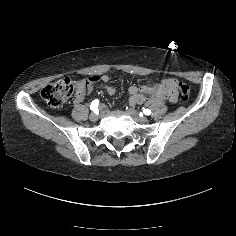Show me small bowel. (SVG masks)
Returning a JSON list of instances; mask_svg holds the SVG:
<instances>
[{
    "instance_id": "obj_1",
    "label": "small bowel",
    "mask_w": 236,
    "mask_h": 236,
    "mask_svg": "<svg viewBox=\"0 0 236 236\" xmlns=\"http://www.w3.org/2000/svg\"><path fill=\"white\" fill-rule=\"evenodd\" d=\"M108 80H109V78H108L107 75H104V76H101V77H92L90 82L86 86V89H84L82 92L77 94V96L75 98V102L76 103L81 102L83 100V97H84V91L91 92L92 89H93V83L97 82V81H100L104 85V87L106 88L108 93L113 94L115 92V89L113 87L107 85ZM169 82H171L172 84L174 83V81H169ZM143 89L145 90L146 88H143ZM130 94L132 95L134 102L139 101L140 96H139V90L137 88L132 87L130 89Z\"/></svg>"
}]
</instances>
